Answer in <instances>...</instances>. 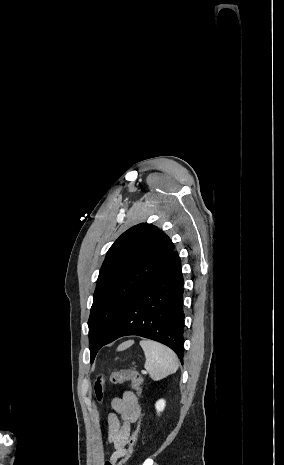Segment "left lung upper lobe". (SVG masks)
<instances>
[{"mask_svg":"<svg viewBox=\"0 0 284 465\" xmlns=\"http://www.w3.org/2000/svg\"><path fill=\"white\" fill-rule=\"evenodd\" d=\"M174 251L171 239L151 224L124 232L100 269L88 320L91 363L122 311Z\"/></svg>","mask_w":284,"mask_h":465,"instance_id":"obj_1","label":"left lung upper lobe"}]
</instances>
